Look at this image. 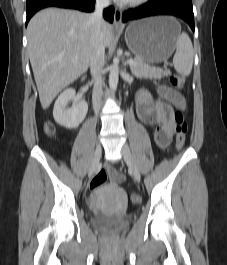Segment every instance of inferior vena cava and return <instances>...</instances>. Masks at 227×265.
I'll return each instance as SVG.
<instances>
[{
    "instance_id": "1",
    "label": "inferior vena cava",
    "mask_w": 227,
    "mask_h": 265,
    "mask_svg": "<svg viewBox=\"0 0 227 265\" xmlns=\"http://www.w3.org/2000/svg\"><path fill=\"white\" fill-rule=\"evenodd\" d=\"M109 4L110 0H96L95 10L89 17L92 24L90 70L94 79L92 103L95 113H98L102 105V73L105 64V45L102 32L104 20L102 12Z\"/></svg>"
}]
</instances>
